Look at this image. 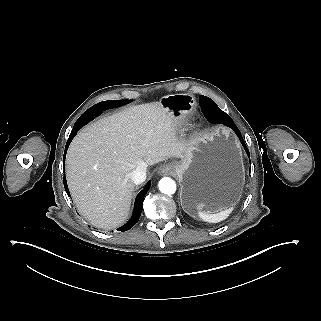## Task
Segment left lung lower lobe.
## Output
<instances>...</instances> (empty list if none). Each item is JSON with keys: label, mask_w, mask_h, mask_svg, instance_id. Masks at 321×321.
Masks as SVG:
<instances>
[{"label": "left lung lower lobe", "mask_w": 321, "mask_h": 321, "mask_svg": "<svg viewBox=\"0 0 321 321\" xmlns=\"http://www.w3.org/2000/svg\"><path fill=\"white\" fill-rule=\"evenodd\" d=\"M201 110L209 122L216 124L223 123L224 125L232 128L236 135L239 137L242 145L246 150V153L249 155V151L245 145L240 131L238 130L237 126L233 123V120L225 112L220 110L215 103H213V105L211 106H201Z\"/></svg>", "instance_id": "left-lung-lower-lobe-1"}]
</instances>
